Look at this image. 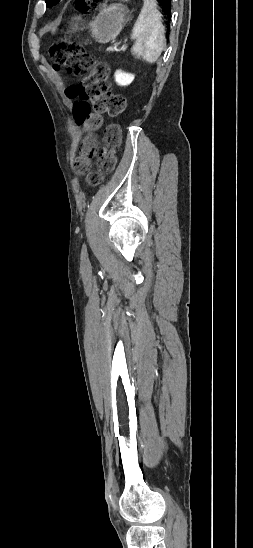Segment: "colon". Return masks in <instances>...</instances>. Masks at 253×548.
Instances as JSON below:
<instances>
[{
  "label": "colon",
  "instance_id": "5ec220e1",
  "mask_svg": "<svg viewBox=\"0 0 253 548\" xmlns=\"http://www.w3.org/2000/svg\"><path fill=\"white\" fill-rule=\"evenodd\" d=\"M104 0H76L78 7L89 10ZM56 69H65L70 74L80 77L79 84L66 89L70 99H77L74 104V116L78 123L89 130L97 129L102 122V114L116 117L124 113L126 99L114 93L108 80V67L95 62L87 50L77 42L63 38L53 43L49 49ZM121 128L117 124L109 125L103 136V148L98 155L97 169L90 171V159L96 153L97 140L88 135L75 160V170L86 174L90 184H98L106 174L111 173L116 165V154L121 145Z\"/></svg>",
  "mask_w": 253,
  "mask_h": 548
}]
</instances>
